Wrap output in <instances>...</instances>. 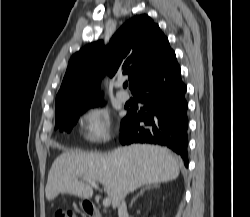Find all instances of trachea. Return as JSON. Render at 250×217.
<instances>
[{"label": "trachea", "instance_id": "obj_1", "mask_svg": "<svg viewBox=\"0 0 250 217\" xmlns=\"http://www.w3.org/2000/svg\"><path fill=\"white\" fill-rule=\"evenodd\" d=\"M128 86V83H124L123 87L126 88Z\"/></svg>", "mask_w": 250, "mask_h": 217}]
</instances>
